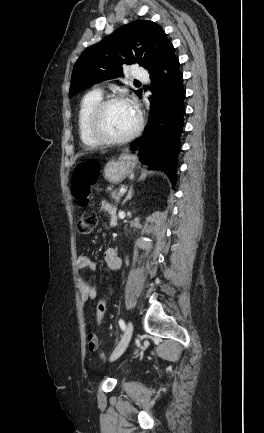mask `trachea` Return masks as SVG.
<instances>
[{"label":"trachea","instance_id":"3493384b","mask_svg":"<svg viewBox=\"0 0 264 433\" xmlns=\"http://www.w3.org/2000/svg\"><path fill=\"white\" fill-rule=\"evenodd\" d=\"M136 83H140L139 81H135Z\"/></svg>","mask_w":264,"mask_h":433}]
</instances>
